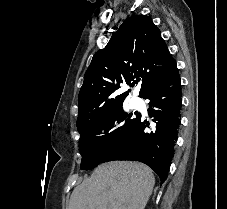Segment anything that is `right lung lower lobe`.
Here are the masks:
<instances>
[{
  "label": "right lung lower lobe",
  "instance_id": "98d812e1",
  "mask_svg": "<svg viewBox=\"0 0 227 209\" xmlns=\"http://www.w3.org/2000/svg\"><path fill=\"white\" fill-rule=\"evenodd\" d=\"M157 74L165 71L142 97L149 99V115L154 125L138 114L126 134L120 138L101 163L113 160L141 161L158 176L161 184L167 178L174 154L177 129L180 125L181 85L176 62L164 68H156Z\"/></svg>",
  "mask_w": 227,
  "mask_h": 209
}]
</instances>
